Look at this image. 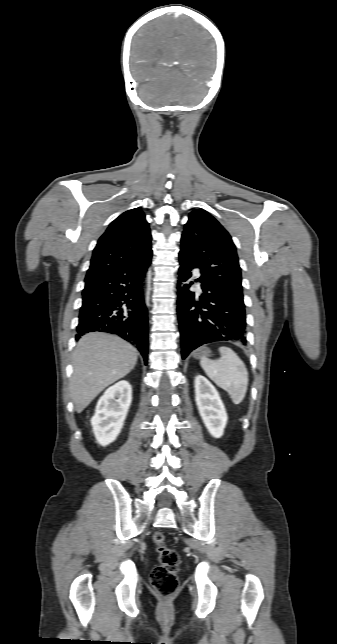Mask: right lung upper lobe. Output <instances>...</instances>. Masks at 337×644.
Instances as JSON below:
<instances>
[{
    "instance_id": "obj_1",
    "label": "right lung upper lobe",
    "mask_w": 337,
    "mask_h": 644,
    "mask_svg": "<svg viewBox=\"0 0 337 644\" xmlns=\"http://www.w3.org/2000/svg\"><path fill=\"white\" fill-rule=\"evenodd\" d=\"M151 239L142 210L135 208L121 214L98 240L86 285L120 266L144 262L152 255Z\"/></svg>"
}]
</instances>
